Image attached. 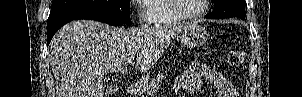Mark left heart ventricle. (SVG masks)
Segmentation results:
<instances>
[{"label": "left heart ventricle", "mask_w": 302, "mask_h": 97, "mask_svg": "<svg viewBox=\"0 0 302 97\" xmlns=\"http://www.w3.org/2000/svg\"><path fill=\"white\" fill-rule=\"evenodd\" d=\"M179 11L186 15L194 14L202 9V0H177Z\"/></svg>", "instance_id": "left-heart-ventricle-1"}]
</instances>
